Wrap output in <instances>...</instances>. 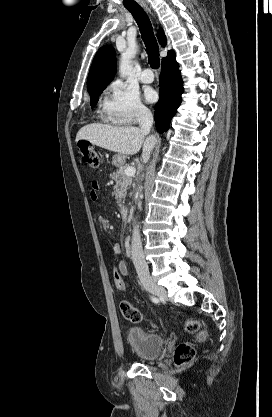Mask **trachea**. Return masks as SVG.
Wrapping results in <instances>:
<instances>
[{"label":"trachea","instance_id":"obj_1","mask_svg":"<svg viewBox=\"0 0 272 417\" xmlns=\"http://www.w3.org/2000/svg\"><path fill=\"white\" fill-rule=\"evenodd\" d=\"M127 9L139 26L142 39L146 46L148 61L151 68L158 69L160 65L159 46L154 36L152 24L148 15L139 5L127 7Z\"/></svg>","mask_w":272,"mask_h":417}]
</instances>
